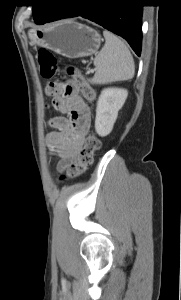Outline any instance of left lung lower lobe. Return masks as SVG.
Wrapping results in <instances>:
<instances>
[{
	"mask_svg": "<svg viewBox=\"0 0 181 300\" xmlns=\"http://www.w3.org/2000/svg\"><path fill=\"white\" fill-rule=\"evenodd\" d=\"M141 0H68L45 21L81 16L123 37L140 56L142 46Z\"/></svg>",
	"mask_w": 181,
	"mask_h": 300,
	"instance_id": "obj_1",
	"label": "left lung lower lobe"
}]
</instances>
